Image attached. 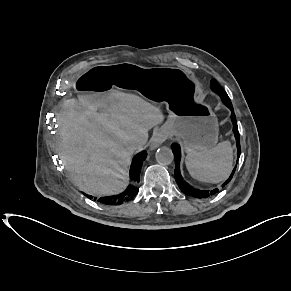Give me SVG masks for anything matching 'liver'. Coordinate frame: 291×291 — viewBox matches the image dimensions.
Masks as SVG:
<instances>
[{
  "label": "liver",
  "mask_w": 291,
  "mask_h": 291,
  "mask_svg": "<svg viewBox=\"0 0 291 291\" xmlns=\"http://www.w3.org/2000/svg\"><path fill=\"white\" fill-rule=\"evenodd\" d=\"M164 120L161 110L134 94L79 95L69 99L58 117L60 158L76 186L92 195L120 193L128 183L135 150L148 131Z\"/></svg>",
  "instance_id": "6515ba94"
}]
</instances>
